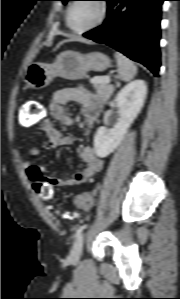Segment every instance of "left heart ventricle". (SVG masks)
<instances>
[{"label": "left heart ventricle", "mask_w": 180, "mask_h": 299, "mask_svg": "<svg viewBox=\"0 0 180 299\" xmlns=\"http://www.w3.org/2000/svg\"><path fill=\"white\" fill-rule=\"evenodd\" d=\"M99 16V7L94 1L77 2L70 13V24L75 29H82L93 22Z\"/></svg>", "instance_id": "obj_1"}]
</instances>
